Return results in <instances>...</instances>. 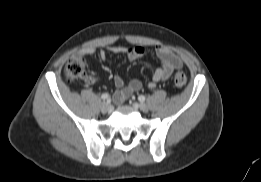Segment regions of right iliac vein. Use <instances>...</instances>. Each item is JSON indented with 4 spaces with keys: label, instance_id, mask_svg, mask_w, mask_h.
<instances>
[{
    "label": "right iliac vein",
    "instance_id": "1",
    "mask_svg": "<svg viewBox=\"0 0 261 182\" xmlns=\"http://www.w3.org/2000/svg\"><path fill=\"white\" fill-rule=\"evenodd\" d=\"M110 110H111L110 104H108V103H106V102H103V103L101 104V111H102L103 113H107V112H109Z\"/></svg>",
    "mask_w": 261,
    "mask_h": 182
}]
</instances>
